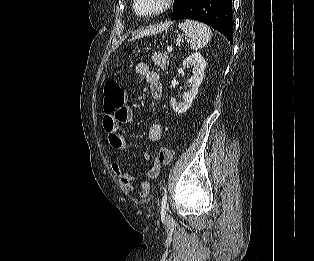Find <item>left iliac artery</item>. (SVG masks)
<instances>
[{"instance_id": "obj_1", "label": "left iliac artery", "mask_w": 314, "mask_h": 261, "mask_svg": "<svg viewBox=\"0 0 314 261\" xmlns=\"http://www.w3.org/2000/svg\"><path fill=\"white\" fill-rule=\"evenodd\" d=\"M167 198H168V195H167V191L165 190L163 198H162V202H161V213L162 214H166Z\"/></svg>"}]
</instances>
